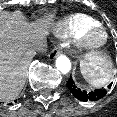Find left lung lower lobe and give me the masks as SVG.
<instances>
[{
  "instance_id": "1",
  "label": "left lung lower lobe",
  "mask_w": 117,
  "mask_h": 117,
  "mask_svg": "<svg viewBox=\"0 0 117 117\" xmlns=\"http://www.w3.org/2000/svg\"><path fill=\"white\" fill-rule=\"evenodd\" d=\"M112 84L108 85L107 88L103 89H96L94 91L87 92L85 90L80 89L73 81L72 77L69 78L67 81V87L70 92L79 100L87 102V101H97L103 98L108 89L111 87Z\"/></svg>"
}]
</instances>
